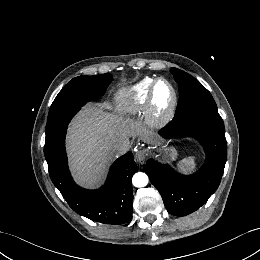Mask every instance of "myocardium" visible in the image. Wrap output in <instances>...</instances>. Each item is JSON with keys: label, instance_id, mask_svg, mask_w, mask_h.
<instances>
[{"label": "myocardium", "instance_id": "1", "mask_svg": "<svg viewBox=\"0 0 260 260\" xmlns=\"http://www.w3.org/2000/svg\"><path fill=\"white\" fill-rule=\"evenodd\" d=\"M163 82L172 92V102L166 113H160L155 106V94L157 85ZM178 105V94L174 85L166 78H157L150 87L147 101L145 104V116L147 123L153 128H163L168 125L174 118Z\"/></svg>", "mask_w": 260, "mask_h": 260}]
</instances>
